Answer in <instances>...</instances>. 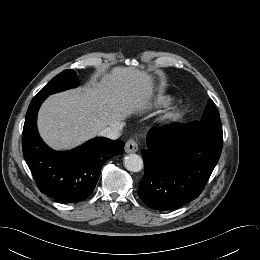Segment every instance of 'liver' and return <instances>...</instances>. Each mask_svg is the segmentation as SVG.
I'll use <instances>...</instances> for the list:
<instances>
[{"instance_id": "obj_1", "label": "liver", "mask_w": 260, "mask_h": 260, "mask_svg": "<svg viewBox=\"0 0 260 260\" xmlns=\"http://www.w3.org/2000/svg\"><path fill=\"white\" fill-rule=\"evenodd\" d=\"M154 97V78L132 67H115L99 81L49 96L38 113L42 139L55 150H69L146 110Z\"/></svg>"}]
</instances>
